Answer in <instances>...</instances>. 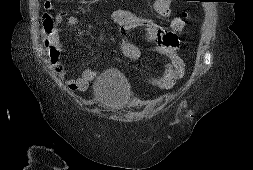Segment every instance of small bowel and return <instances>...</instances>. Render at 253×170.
Masks as SVG:
<instances>
[{
	"instance_id": "c3829d8e",
	"label": "small bowel",
	"mask_w": 253,
	"mask_h": 170,
	"mask_svg": "<svg viewBox=\"0 0 253 170\" xmlns=\"http://www.w3.org/2000/svg\"><path fill=\"white\" fill-rule=\"evenodd\" d=\"M85 2L87 0H81ZM172 0H154L153 8L162 17L171 15ZM44 6L48 10H52L53 4L51 0H45ZM111 20L120 28L122 38L120 47L125 56L131 60H137L141 57L140 49L126 39V35L136 29H143L145 38L153 44V49L166 58L164 64V73L161 77L150 79L149 82L163 89L171 88L174 83L183 78L185 63L178 55L180 41L175 36L174 31H181L184 28L185 20L181 17H176L171 21L172 31H168L161 24L153 19L137 17L132 13L116 8L111 12ZM67 17V22L70 26L76 27L79 24V19L75 15H67L65 11L59 12L55 16V26L51 33L46 34L48 41L58 43L59 26ZM180 22L181 27H176V23ZM78 36H83L81 30H77ZM54 71L62 78L66 77L67 71L60 62L53 63ZM96 72L92 69L85 68L81 74L73 79H65L67 87L71 90L85 91L89 83L96 77Z\"/></svg>"
}]
</instances>
